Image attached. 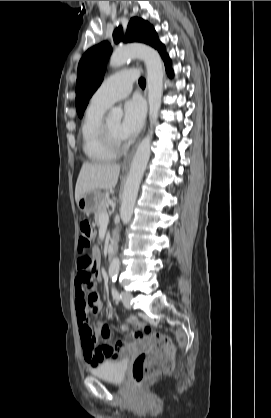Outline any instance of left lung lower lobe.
I'll return each mask as SVG.
<instances>
[{
	"label": "left lung lower lobe",
	"mask_w": 271,
	"mask_h": 418,
	"mask_svg": "<svg viewBox=\"0 0 271 418\" xmlns=\"http://www.w3.org/2000/svg\"><path fill=\"white\" fill-rule=\"evenodd\" d=\"M157 50L159 51V53L161 54V56L164 60V63H165V66H166V71H167L168 75L172 76L173 71L171 70V61H170L168 55L166 54L165 46L161 44V46Z\"/></svg>",
	"instance_id": "obj_1"
}]
</instances>
